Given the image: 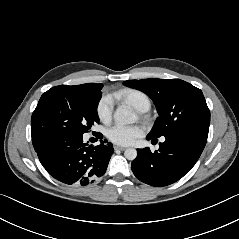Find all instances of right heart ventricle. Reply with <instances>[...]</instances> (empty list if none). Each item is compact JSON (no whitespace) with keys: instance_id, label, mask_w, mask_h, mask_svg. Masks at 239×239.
Returning a JSON list of instances; mask_svg holds the SVG:
<instances>
[{"instance_id":"1","label":"right heart ventricle","mask_w":239,"mask_h":239,"mask_svg":"<svg viewBox=\"0 0 239 239\" xmlns=\"http://www.w3.org/2000/svg\"><path fill=\"white\" fill-rule=\"evenodd\" d=\"M116 97L123 100L140 112L147 111L151 106L149 97L140 90L126 89L119 92Z\"/></svg>"}]
</instances>
